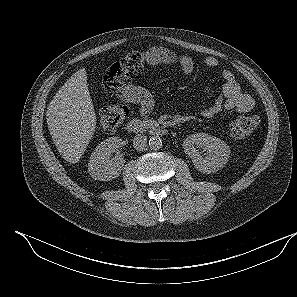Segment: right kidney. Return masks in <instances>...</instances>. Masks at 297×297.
<instances>
[{
    "instance_id": "obj_1",
    "label": "right kidney",
    "mask_w": 297,
    "mask_h": 297,
    "mask_svg": "<svg viewBox=\"0 0 297 297\" xmlns=\"http://www.w3.org/2000/svg\"><path fill=\"white\" fill-rule=\"evenodd\" d=\"M122 140L119 137H110L96 146L90 156L88 171L95 180L108 181L118 177L125 160L118 151ZM117 152L112 158L111 153Z\"/></svg>"
}]
</instances>
